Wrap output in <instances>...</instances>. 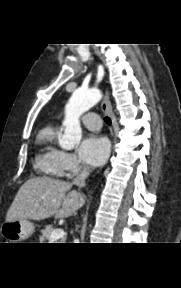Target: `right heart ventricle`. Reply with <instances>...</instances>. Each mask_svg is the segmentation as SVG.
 <instances>
[{
  "mask_svg": "<svg viewBox=\"0 0 181 288\" xmlns=\"http://www.w3.org/2000/svg\"><path fill=\"white\" fill-rule=\"evenodd\" d=\"M57 130L48 125L41 129L37 136L38 152L35 159L36 167L42 172L56 176L61 164V152L56 147Z\"/></svg>",
  "mask_w": 181,
  "mask_h": 288,
  "instance_id": "1",
  "label": "right heart ventricle"
}]
</instances>
